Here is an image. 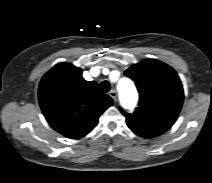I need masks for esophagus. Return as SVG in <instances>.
Instances as JSON below:
<instances>
[{"instance_id":"esophagus-1","label":"esophagus","mask_w":212,"mask_h":183,"mask_svg":"<svg viewBox=\"0 0 212 183\" xmlns=\"http://www.w3.org/2000/svg\"><path fill=\"white\" fill-rule=\"evenodd\" d=\"M110 97L115 101L117 98V91L116 90H111L109 92Z\"/></svg>"}]
</instances>
